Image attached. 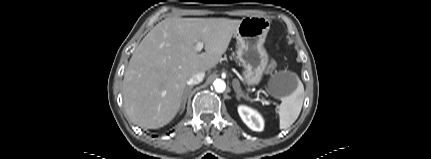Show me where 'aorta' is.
<instances>
[{"mask_svg":"<svg viewBox=\"0 0 431 159\" xmlns=\"http://www.w3.org/2000/svg\"><path fill=\"white\" fill-rule=\"evenodd\" d=\"M213 86H214L215 91H216V92H219V93L224 92V91H225V89H226V84H225V82H224L223 80H221V79H216V80L213 82Z\"/></svg>","mask_w":431,"mask_h":159,"instance_id":"762f6f07","label":"aorta"}]
</instances>
